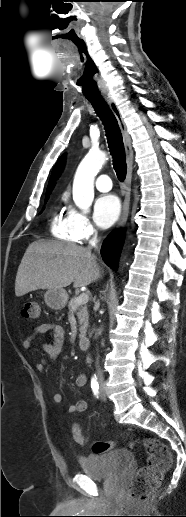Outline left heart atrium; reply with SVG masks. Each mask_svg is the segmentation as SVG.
I'll list each match as a JSON object with an SVG mask.
<instances>
[{
	"instance_id": "1",
	"label": "left heart atrium",
	"mask_w": 186,
	"mask_h": 517,
	"mask_svg": "<svg viewBox=\"0 0 186 517\" xmlns=\"http://www.w3.org/2000/svg\"><path fill=\"white\" fill-rule=\"evenodd\" d=\"M120 209V202L116 196H101L94 205V219L101 228H108L118 219Z\"/></svg>"
}]
</instances>
